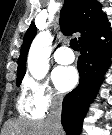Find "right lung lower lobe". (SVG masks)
Instances as JSON below:
<instances>
[{
    "instance_id": "1",
    "label": "right lung lower lobe",
    "mask_w": 112,
    "mask_h": 135,
    "mask_svg": "<svg viewBox=\"0 0 112 135\" xmlns=\"http://www.w3.org/2000/svg\"><path fill=\"white\" fill-rule=\"evenodd\" d=\"M104 36L105 40L100 37ZM109 41V45L107 42ZM112 33L109 30L80 44L78 59L80 83L63 100L61 123L67 135H79L89 104L101 85L112 56Z\"/></svg>"
}]
</instances>
